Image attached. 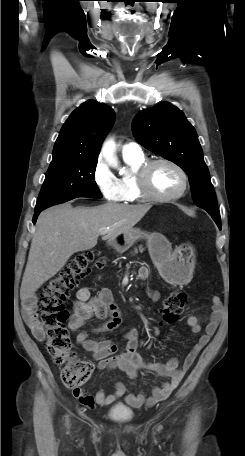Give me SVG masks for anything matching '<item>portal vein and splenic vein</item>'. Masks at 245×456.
Returning <instances> with one entry per match:
<instances>
[{"label": "portal vein and splenic vein", "mask_w": 245, "mask_h": 456, "mask_svg": "<svg viewBox=\"0 0 245 456\" xmlns=\"http://www.w3.org/2000/svg\"><path fill=\"white\" fill-rule=\"evenodd\" d=\"M109 228L104 229L101 233L105 234Z\"/></svg>", "instance_id": "18ae733b"}]
</instances>
